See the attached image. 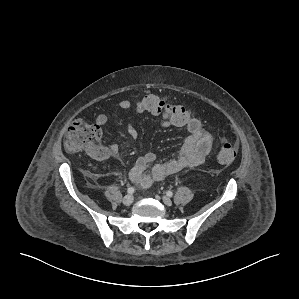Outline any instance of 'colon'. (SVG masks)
I'll use <instances>...</instances> for the list:
<instances>
[{
	"instance_id": "obj_1",
	"label": "colon",
	"mask_w": 299,
	"mask_h": 299,
	"mask_svg": "<svg viewBox=\"0 0 299 299\" xmlns=\"http://www.w3.org/2000/svg\"><path fill=\"white\" fill-rule=\"evenodd\" d=\"M145 112L166 120L175 127H185L196 117L191 109L184 105L170 103L159 95L146 92L140 97ZM100 130L96 125L77 119L67 129L64 147L70 154L82 151L94 154L100 150ZM237 155L236 146L222 140L219 145L217 159L221 164L229 165Z\"/></svg>"
}]
</instances>
